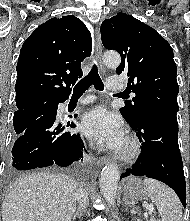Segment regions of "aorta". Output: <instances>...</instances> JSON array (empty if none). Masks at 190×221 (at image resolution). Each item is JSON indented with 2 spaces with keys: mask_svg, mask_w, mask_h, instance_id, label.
Here are the masks:
<instances>
[{
  "mask_svg": "<svg viewBox=\"0 0 190 221\" xmlns=\"http://www.w3.org/2000/svg\"><path fill=\"white\" fill-rule=\"evenodd\" d=\"M120 61V56L117 53H106L103 56V62L108 66H118ZM119 176L120 173L116 164H109L105 166L100 175V188L102 194L111 206L115 205Z\"/></svg>",
  "mask_w": 190,
  "mask_h": 221,
  "instance_id": "aorta-1",
  "label": "aorta"
}]
</instances>
